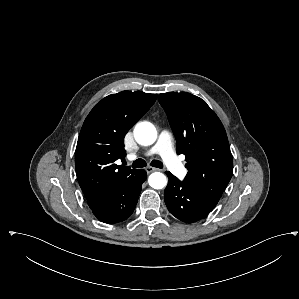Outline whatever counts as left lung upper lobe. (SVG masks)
<instances>
[{
    "mask_svg": "<svg viewBox=\"0 0 299 299\" xmlns=\"http://www.w3.org/2000/svg\"><path fill=\"white\" fill-rule=\"evenodd\" d=\"M177 140L178 154L188 163L185 182L219 200L233 174L225 129L207 103L190 93L160 94Z\"/></svg>",
    "mask_w": 299,
    "mask_h": 299,
    "instance_id": "left-lung-upper-lobe-1",
    "label": "left lung upper lobe"
}]
</instances>
